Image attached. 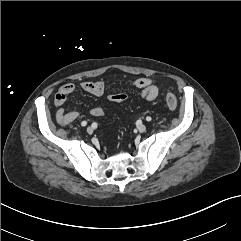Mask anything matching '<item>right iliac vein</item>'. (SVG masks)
Wrapping results in <instances>:
<instances>
[{"label":"right iliac vein","mask_w":241,"mask_h":241,"mask_svg":"<svg viewBox=\"0 0 241 241\" xmlns=\"http://www.w3.org/2000/svg\"><path fill=\"white\" fill-rule=\"evenodd\" d=\"M87 132H88L89 134H92V133H93V128H92V127H87Z\"/></svg>","instance_id":"obj_1"}]
</instances>
